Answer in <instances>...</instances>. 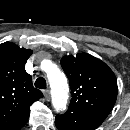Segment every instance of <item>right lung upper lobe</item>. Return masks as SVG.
Segmentation results:
<instances>
[{
  "instance_id": "obj_1",
  "label": "right lung upper lobe",
  "mask_w": 130,
  "mask_h": 130,
  "mask_svg": "<svg viewBox=\"0 0 130 130\" xmlns=\"http://www.w3.org/2000/svg\"><path fill=\"white\" fill-rule=\"evenodd\" d=\"M32 50L14 43L0 44V130H19L30 114L33 102L43 97L32 85L25 63Z\"/></svg>"
}]
</instances>
